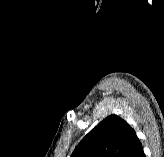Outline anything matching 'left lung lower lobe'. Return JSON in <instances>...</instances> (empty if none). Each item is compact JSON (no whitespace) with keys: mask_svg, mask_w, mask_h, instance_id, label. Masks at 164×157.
I'll list each match as a JSON object with an SVG mask.
<instances>
[{"mask_svg":"<svg viewBox=\"0 0 164 157\" xmlns=\"http://www.w3.org/2000/svg\"><path fill=\"white\" fill-rule=\"evenodd\" d=\"M124 157H145L142 145L137 136L131 142Z\"/></svg>","mask_w":164,"mask_h":157,"instance_id":"left-lung-lower-lobe-1","label":"left lung lower lobe"}]
</instances>
